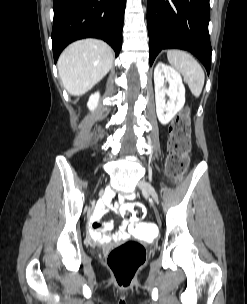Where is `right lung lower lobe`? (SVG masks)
Returning a JSON list of instances; mask_svg holds the SVG:
<instances>
[{
    "label": "right lung lower lobe",
    "mask_w": 247,
    "mask_h": 304,
    "mask_svg": "<svg viewBox=\"0 0 247 304\" xmlns=\"http://www.w3.org/2000/svg\"><path fill=\"white\" fill-rule=\"evenodd\" d=\"M126 0H54L52 47L54 61L71 42L87 38L106 41L118 56Z\"/></svg>",
    "instance_id": "1"
}]
</instances>
